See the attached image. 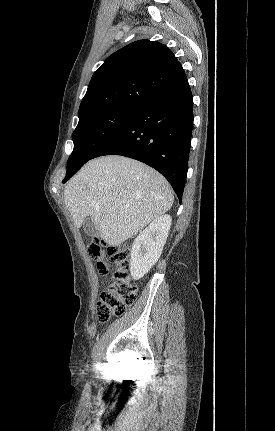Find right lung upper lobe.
<instances>
[{
	"mask_svg": "<svg viewBox=\"0 0 275 431\" xmlns=\"http://www.w3.org/2000/svg\"><path fill=\"white\" fill-rule=\"evenodd\" d=\"M186 78L165 45L149 40L133 42L109 56L93 74L78 116L117 107L139 108Z\"/></svg>",
	"mask_w": 275,
	"mask_h": 431,
	"instance_id": "cb5924a9",
	"label": "right lung upper lobe"
}]
</instances>
